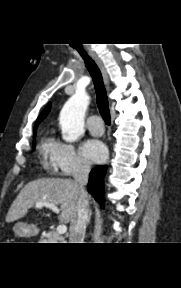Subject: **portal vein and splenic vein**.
Segmentation results:
<instances>
[{
  "mask_svg": "<svg viewBox=\"0 0 181 288\" xmlns=\"http://www.w3.org/2000/svg\"><path fill=\"white\" fill-rule=\"evenodd\" d=\"M36 207L37 208L47 207V208L51 209L52 211H54L55 213L60 212V210L58 209V207L55 204L48 203V202H37ZM56 231L59 235L65 234L67 231V226L65 224H61L57 227Z\"/></svg>",
  "mask_w": 181,
  "mask_h": 288,
  "instance_id": "portal-vein-and-splenic-vein-1",
  "label": "portal vein and splenic vein"
}]
</instances>
